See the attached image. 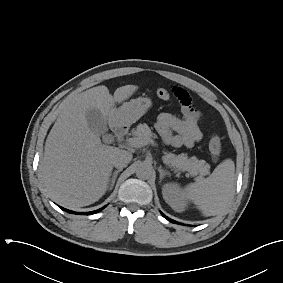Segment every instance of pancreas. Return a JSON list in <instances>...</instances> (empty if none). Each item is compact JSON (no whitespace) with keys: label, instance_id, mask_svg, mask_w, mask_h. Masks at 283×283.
<instances>
[{"label":"pancreas","instance_id":"obj_1","mask_svg":"<svg viewBox=\"0 0 283 283\" xmlns=\"http://www.w3.org/2000/svg\"><path fill=\"white\" fill-rule=\"evenodd\" d=\"M136 139H150L153 133L147 124H139L136 130L132 131ZM164 163L168 166L181 171H187L192 177L202 178L210 173V165L205 160H198L195 156L189 158L187 154L182 153L175 155L165 153L163 156Z\"/></svg>","mask_w":283,"mask_h":283}]
</instances>
